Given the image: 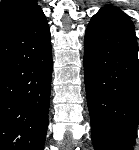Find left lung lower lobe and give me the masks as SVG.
Returning a JSON list of instances; mask_svg holds the SVG:
<instances>
[{
    "label": "left lung lower lobe",
    "mask_w": 139,
    "mask_h": 150,
    "mask_svg": "<svg viewBox=\"0 0 139 150\" xmlns=\"http://www.w3.org/2000/svg\"><path fill=\"white\" fill-rule=\"evenodd\" d=\"M138 45L129 17L113 6L91 19L84 76L95 150H134L139 116Z\"/></svg>",
    "instance_id": "obj_1"
}]
</instances>
